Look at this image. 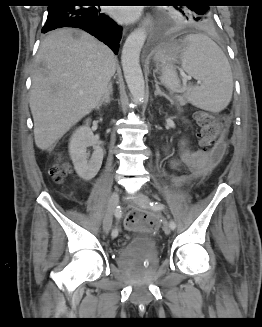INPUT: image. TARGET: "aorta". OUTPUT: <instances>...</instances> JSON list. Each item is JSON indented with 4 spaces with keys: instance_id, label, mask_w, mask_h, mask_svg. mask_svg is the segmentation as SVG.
<instances>
[{
    "instance_id": "1",
    "label": "aorta",
    "mask_w": 262,
    "mask_h": 327,
    "mask_svg": "<svg viewBox=\"0 0 262 327\" xmlns=\"http://www.w3.org/2000/svg\"><path fill=\"white\" fill-rule=\"evenodd\" d=\"M146 39L145 29L134 30L126 39L121 55L124 77L129 91L137 103H143L145 82L140 67V52Z\"/></svg>"
}]
</instances>
